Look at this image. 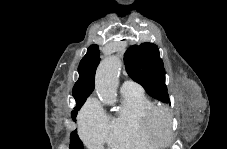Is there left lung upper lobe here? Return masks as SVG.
<instances>
[{"label": "left lung upper lobe", "instance_id": "5c2ea615", "mask_svg": "<svg viewBox=\"0 0 227 149\" xmlns=\"http://www.w3.org/2000/svg\"><path fill=\"white\" fill-rule=\"evenodd\" d=\"M124 62L128 75L142 85L150 96L170 103L163 61L155 44L142 43L129 47L124 55Z\"/></svg>", "mask_w": 227, "mask_h": 149}]
</instances>
